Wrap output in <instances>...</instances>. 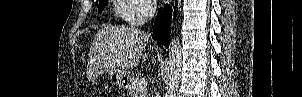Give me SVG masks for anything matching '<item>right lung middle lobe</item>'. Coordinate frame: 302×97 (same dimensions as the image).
I'll return each instance as SVG.
<instances>
[{
	"label": "right lung middle lobe",
	"instance_id": "dd1d6c3e",
	"mask_svg": "<svg viewBox=\"0 0 302 97\" xmlns=\"http://www.w3.org/2000/svg\"><path fill=\"white\" fill-rule=\"evenodd\" d=\"M108 0H101L99 1V7H98V12L101 13L102 10L104 9L105 5L107 4Z\"/></svg>",
	"mask_w": 302,
	"mask_h": 97
}]
</instances>
